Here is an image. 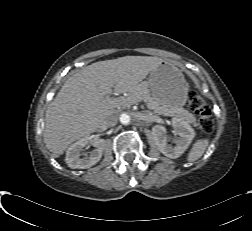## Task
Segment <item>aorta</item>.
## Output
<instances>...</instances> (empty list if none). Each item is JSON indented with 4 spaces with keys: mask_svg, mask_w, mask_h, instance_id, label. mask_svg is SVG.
<instances>
[{
    "mask_svg": "<svg viewBox=\"0 0 252 231\" xmlns=\"http://www.w3.org/2000/svg\"><path fill=\"white\" fill-rule=\"evenodd\" d=\"M120 122L124 125H127L130 123V116L126 113H123L120 115Z\"/></svg>",
    "mask_w": 252,
    "mask_h": 231,
    "instance_id": "obj_1",
    "label": "aorta"
}]
</instances>
